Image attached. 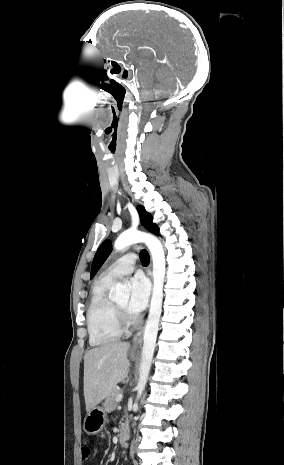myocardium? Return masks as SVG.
Returning <instances> with one entry per match:
<instances>
[{
	"label": "myocardium",
	"mask_w": 284,
	"mask_h": 465,
	"mask_svg": "<svg viewBox=\"0 0 284 465\" xmlns=\"http://www.w3.org/2000/svg\"><path fill=\"white\" fill-rule=\"evenodd\" d=\"M118 321L115 322L116 328L120 333L127 332L136 323V318L122 312L116 304H113Z\"/></svg>",
	"instance_id": "1"
}]
</instances>
